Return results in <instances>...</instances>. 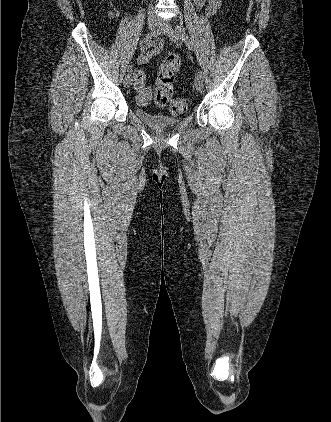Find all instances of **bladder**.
I'll use <instances>...</instances> for the list:
<instances>
[{
	"label": "bladder",
	"mask_w": 331,
	"mask_h": 422,
	"mask_svg": "<svg viewBox=\"0 0 331 422\" xmlns=\"http://www.w3.org/2000/svg\"><path fill=\"white\" fill-rule=\"evenodd\" d=\"M136 116L146 125L152 128H168L177 126L183 120L185 112L177 115H169L163 112H152L143 108L135 109Z\"/></svg>",
	"instance_id": "1"
}]
</instances>
